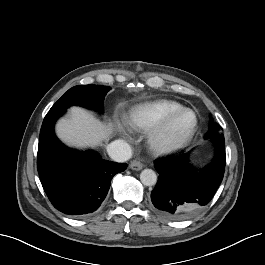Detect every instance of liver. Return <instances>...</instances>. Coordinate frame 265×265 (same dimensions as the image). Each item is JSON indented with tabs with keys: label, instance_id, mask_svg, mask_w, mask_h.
Returning a JSON list of instances; mask_svg holds the SVG:
<instances>
[{
	"label": "liver",
	"instance_id": "obj_1",
	"mask_svg": "<svg viewBox=\"0 0 265 265\" xmlns=\"http://www.w3.org/2000/svg\"><path fill=\"white\" fill-rule=\"evenodd\" d=\"M112 131L111 124L100 122L80 107H72L70 116L60 119L56 125L57 136L66 144L79 148L98 146Z\"/></svg>",
	"mask_w": 265,
	"mask_h": 265
}]
</instances>
